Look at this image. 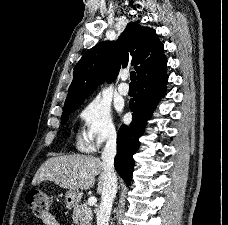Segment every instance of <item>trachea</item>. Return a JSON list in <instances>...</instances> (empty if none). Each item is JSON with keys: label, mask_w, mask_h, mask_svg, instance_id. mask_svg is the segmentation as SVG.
I'll list each match as a JSON object with an SVG mask.
<instances>
[{"label": "trachea", "mask_w": 228, "mask_h": 225, "mask_svg": "<svg viewBox=\"0 0 228 225\" xmlns=\"http://www.w3.org/2000/svg\"><path fill=\"white\" fill-rule=\"evenodd\" d=\"M130 79H131L130 87H136V73L135 72H131Z\"/></svg>", "instance_id": "3493384b"}]
</instances>
